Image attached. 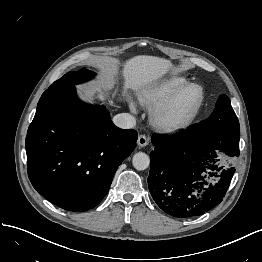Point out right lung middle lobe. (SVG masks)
Listing matches in <instances>:
<instances>
[{"instance_id": "1", "label": "right lung middle lobe", "mask_w": 262, "mask_h": 262, "mask_svg": "<svg viewBox=\"0 0 262 262\" xmlns=\"http://www.w3.org/2000/svg\"><path fill=\"white\" fill-rule=\"evenodd\" d=\"M95 73L86 68H82L77 72L71 71L62 76L59 80L55 81L49 89H60L68 86L85 82L94 77Z\"/></svg>"}]
</instances>
